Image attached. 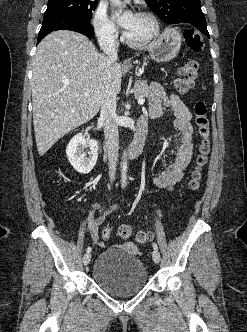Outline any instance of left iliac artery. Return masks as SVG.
I'll list each match as a JSON object with an SVG mask.
<instances>
[{
    "label": "left iliac artery",
    "mask_w": 247,
    "mask_h": 332,
    "mask_svg": "<svg viewBox=\"0 0 247 332\" xmlns=\"http://www.w3.org/2000/svg\"><path fill=\"white\" fill-rule=\"evenodd\" d=\"M152 246H153L154 249H156V250L158 249V246L155 242L152 244Z\"/></svg>",
    "instance_id": "1"
}]
</instances>
